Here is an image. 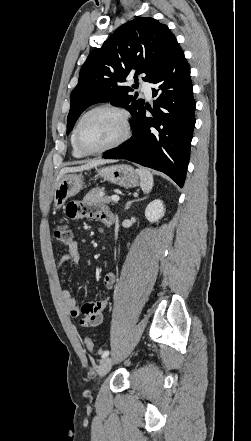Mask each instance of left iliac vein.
Masks as SVG:
<instances>
[{"instance_id":"left-iliac-vein-1","label":"left iliac vein","mask_w":251,"mask_h":441,"mask_svg":"<svg viewBox=\"0 0 251 441\" xmlns=\"http://www.w3.org/2000/svg\"><path fill=\"white\" fill-rule=\"evenodd\" d=\"M113 365V360L110 357H106L101 362L98 369L99 380L102 379L111 369Z\"/></svg>"}]
</instances>
